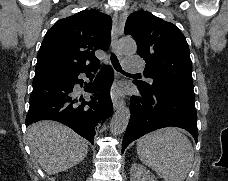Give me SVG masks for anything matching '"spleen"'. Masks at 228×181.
<instances>
[{
    "instance_id": "spleen-1",
    "label": "spleen",
    "mask_w": 228,
    "mask_h": 181,
    "mask_svg": "<svg viewBox=\"0 0 228 181\" xmlns=\"http://www.w3.org/2000/svg\"><path fill=\"white\" fill-rule=\"evenodd\" d=\"M137 153L143 165L156 171L164 181H185L194 159L189 139L173 127L138 139Z\"/></svg>"
}]
</instances>
